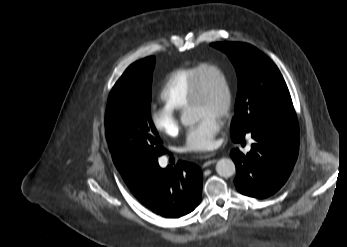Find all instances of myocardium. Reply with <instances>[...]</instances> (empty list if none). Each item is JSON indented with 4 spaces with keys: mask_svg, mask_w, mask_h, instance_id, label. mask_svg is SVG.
<instances>
[{
    "mask_svg": "<svg viewBox=\"0 0 347 247\" xmlns=\"http://www.w3.org/2000/svg\"><path fill=\"white\" fill-rule=\"evenodd\" d=\"M207 71L216 72L222 79L225 91V101L223 108L220 113L221 118H226L230 115L233 103H234V92L231 82V78L227 71L219 64L213 62H203L198 65L196 75L194 77L188 107L198 105L203 99V76Z\"/></svg>",
    "mask_w": 347,
    "mask_h": 247,
    "instance_id": "obj_1",
    "label": "myocardium"
}]
</instances>
